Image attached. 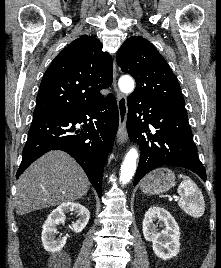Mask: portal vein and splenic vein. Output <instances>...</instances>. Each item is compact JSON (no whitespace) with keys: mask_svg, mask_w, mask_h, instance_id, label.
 I'll list each match as a JSON object with an SVG mask.
<instances>
[{"mask_svg":"<svg viewBox=\"0 0 221 268\" xmlns=\"http://www.w3.org/2000/svg\"><path fill=\"white\" fill-rule=\"evenodd\" d=\"M174 198H175L176 200H177V199H179L178 197H174ZM170 200L172 201L173 199H172V198H170Z\"/></svg>","mask_w":221,"mask_h":268,"instance_id":"portal-vein-and-splenic-vein-1","label":"portal vein and splenic vein"}]
</instances>
